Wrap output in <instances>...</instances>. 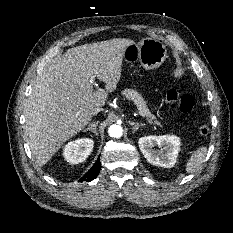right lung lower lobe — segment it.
I'll return each mask as SVG.
<instances>
[{"label": "right lung lower lobe", "instance_id": "obj_1", "mask_svg": "<svg viewBox=\"0 0 233 233\" xmlns=\"http://www.w3.org/2000/svg\"><path fill=\"white\" fill-rule=\"evenodd\" d=\"M100 166H101V163H100L99 158H98L97 161L95 162V164L93 165V167L79 181L80 182L91 181V180L95 179L97 177V175L99 174Z\"/></svg>", "mask_w": 233, "mask_h": 233}]
</instances>
